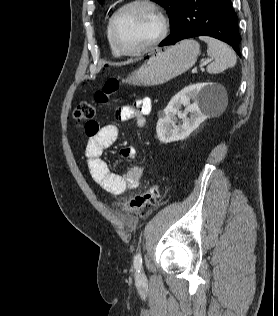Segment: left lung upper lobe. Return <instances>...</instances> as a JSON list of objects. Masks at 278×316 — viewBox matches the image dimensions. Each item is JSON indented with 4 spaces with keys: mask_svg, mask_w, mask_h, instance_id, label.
I'll return each mask as SVG.
<instances>
[{
    "mask_svg": "<svg viewBox=\"0 0 278 316\" xmlns=\"http://www.w3.org/2000/svg\"><path fill=\"white\" fill-rule=\"evenodd\" d=\"M103 0H99V2H102ZM157 4L164 7L168 13L170 23L172 25V30L176 25V22L178 20L179 14L181 12L183 3L185 0H153Z\"/></svg>",
    "mask_w": 278,
    "mask_h": 316,
    "instance_id": "1",
    "label": "left lung upper lobe"
}]
</instances>
